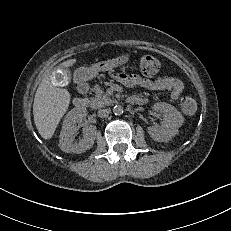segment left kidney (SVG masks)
<instances>
[{
  "instance_id": "1",
  "label": "left kidney",
  "mask_w": 231,
  "mask_h": 231,
  "mask_svg": "<svg viewBox=\"0 0 231 231\" xmlns=\"http://www.w3.org/2000/svg\"><path fill=\"white\" fill-rule=\"evenodd\" d=\"M153 110L164 114L165 118L160 127H148L149 135L153 140L159 142L170 140L182 126L184 117L174 106L164 102L155 103Z\"/></svg>"
}]
</instances>
